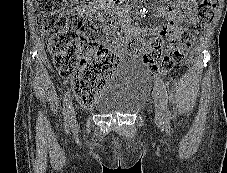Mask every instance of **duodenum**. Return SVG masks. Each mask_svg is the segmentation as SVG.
<instances>
[{
	"label": "duodenum",
	"instance_id": "duodenum-1",
	"mask_svg": "<svg viewBox=\"0 0 227 173\" xmlns=\"http://www.w3.org/2000/svg\"><path fill=\"white\" fill-rule=\"evenodd\" d=\"M108 1L115 3L117 0H108Z\"/></svg>",
	"mask_w": 227,
	"mask_h": 173
}]
</instances>
